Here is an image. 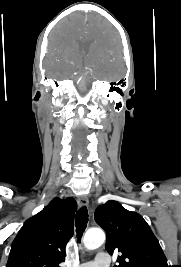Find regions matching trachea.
<instances>
[{
	"mask_svg": "<svg viewBox=\"0 0 181 267\" xmlns=\"http://www.w3.org/2000/svg\"><path fill=\"white\" fill-rule=\"evenodd\" d=\"M88 223V210L84 206L81 209L78 210L76 214V233L77 238L80 241L81 237L83 235V232L85 231Z\"/></svg>",
	"mask_w": 181,
	"mask_h": 267,
	"instance_id": "trachea-1",
	"label": "trachea"
}]
</instances>
